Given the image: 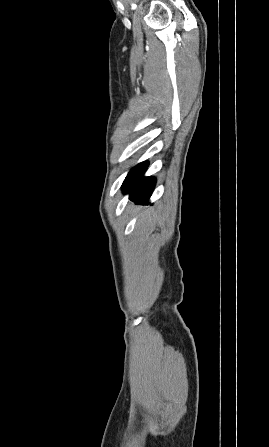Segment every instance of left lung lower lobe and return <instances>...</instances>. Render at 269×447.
I'll use <instances>...</instances> for the list:
<instances>
[{"label": "left lung lower lobe", "mask_w": 269, "mask_h": 447, "mask_svg": "<svg viewBox=\"0 0 269 447\" xmlns=\"http://www.w3.org/2000/svg\"><path fill=\"white\" fill-rule=\"evenodd\" d=\"M148 162H142L131 169L122 184L123 193L130 192V199L137 204H147L155 187V178L143 177Z\"/></svg>", "instance_id": "left-lung-lower-lobe-1"}]
</instances>
